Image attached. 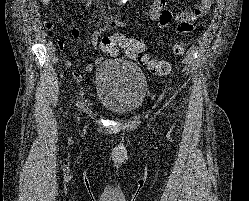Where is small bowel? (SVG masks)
Masks as SVG:
<instances>
[{
	"label": "small bowel",
	"instance_id": "1",
	"mask_svg": "<svg viewBox=\"0 0 249 201\" xmlns=\"http://www.w3.org/2000/svg\"><path fill=\"white\" fill-rule=\"evenodd\" d=\"M44 1L48 3L51 0ZM214 2L215 0H200L194 9H188L180 13L174 14L167 8L168 0H154L150 6L148 16L149 19L155 22L160 28H167L172 26V29L177 33H188L193 30L197 20L208 13ZM44 27L46 30L51 31L54 29L55 26L52 22L46 21L44 22ZM123 27L124 22L122 20L110 19L100 29H98L91 35L90 41L92 45L96 47L100 43V38L103 34L110 32L114 29H119ZM69 31L75 40L79 39L80 30L77 26H70ZM59 46L63 48L61 42H59ZM102 61L103 57H97L94 63H89L85 66V71L92 72L95 66L100 64ZM64 65L67 68H70L72 67L73 62L67 59L65 60ZM73 76L76 79H79L81 77L80 73L77 71L73 72Z\"/></svg>",
	"mask_w": 249,
	"mask_h": 201
}]
</instances>
